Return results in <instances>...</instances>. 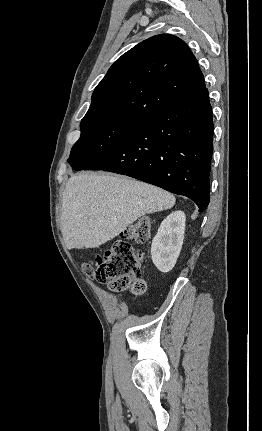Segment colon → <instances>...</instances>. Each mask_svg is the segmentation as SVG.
<instances>
[{
    "instance_id": "colon-1",
    "label": "colon",
    "mask_w": 262,
    "mask_h": 431,
    "mask_svg": "<svg viewBox=\"0 0 262 431\" xmlns=\"http://www.w3.org/2000/svg\"><path fill=\"white\" fill-rule=\"evenodd\" d=\"M154 225L152 217H144L128 227L94 261L85 260L82 263L84 272L111 291L142 294L145 290L142 260L135 245L148 240Z\"/></svg>"
}]
</instances>
